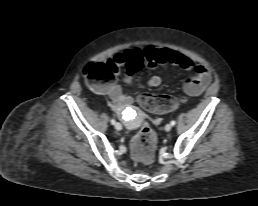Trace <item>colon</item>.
Here are the masks:
<instances>
[{"mask_svg":"<svg viewBox=\"0 0 258 206\" xmlns=\"http://www.w3.org/2000/svg\"><path fill=\"white\" fill-rule=\"evenodd\" d=\"M144 61L140 55H134L127 64L129 74H135L141 70ZM86 81L95 87H100L111 82L114 75L108 64L92 63L84 68ZM139 104L151 112L165 113L172 111L177 101L175 98L166 95H154L141 93L138 96ZM157 146V136L148 126L143 125L131 143L132 158L142 164H150L154 161Z\"/></svg>","mask_w":258,"mask_h":206,"instance_id":"5ec220e1","label":"colon"}]
</instances>
